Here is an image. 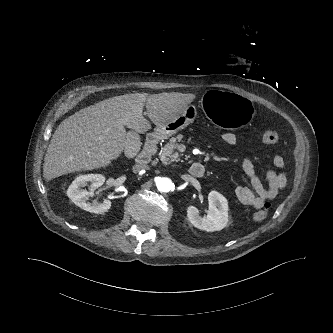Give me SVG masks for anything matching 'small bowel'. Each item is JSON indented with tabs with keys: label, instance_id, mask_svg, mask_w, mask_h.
<instances>
[{
	"label": "small bowel",
	"instance_id": "1",
	"mask_svg": "<svg viewBox=\"0 0 333 333\" xmlns=\"http://www.w3.org/2000/svg\"><path fill=\"white\" fill-rule=\"evenodd\" d=\"M222 141L227 145H235L237 138L234 133L225 132L222 135ZM273 163L279 170L267 172V185H265L256 174L253 162L247 157L242 159L243 173L250 182V186L240 185L235 188V196L242 204L257 209L262 208L266 201L275 198L279 191L285 187L286 173L283 171L285 166L284 159L276 155L273 158Z\"/></svg>",
	"mask_w": 333,
	"mask_h": 333
}]
</instances>
